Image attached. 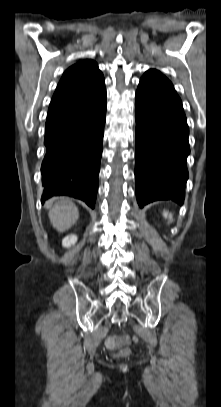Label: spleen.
I'll list each match as a JSON object with an SVG mask.
<instances>
[{"instance_id": "spleen-1", "label": "spleen", "mask_w": 221, "mask_h": 407, "mask_svg": "<svg viewBox=\"0 0 221 407\" xmlns=\"http://www.w3.org/2000/svg\"><path fill=\"white\" fill-rule=\"evenodd\" d=\"M163 216H164L165 218H168L169 221H172V220H173L172 214L169 213V212H167V211H164V212H163Z\"/></svg>"}]
</instances>
